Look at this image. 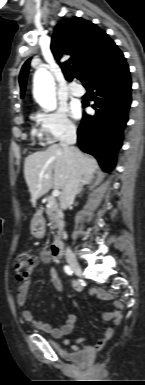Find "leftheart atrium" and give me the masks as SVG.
<instances>
[{"label":"left heart atrium","mask_w":145,"mask_h":385,"mask_svg":"<svg viewBox=\"0 0 145 385\" xmlns=\"http://www.w3.org/2000/svg\"><path fill=\"white\" fill-rule=\"evenodd\" d=\"M72 112L75 117H79L81 114L79 107L76 105L72 107Z\"/></svg>","instance_id":"left-heart-atrium-1"}]
</instances>
